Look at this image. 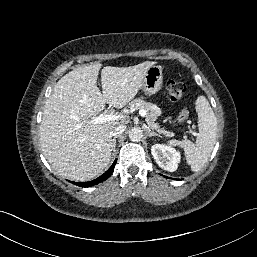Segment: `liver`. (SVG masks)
<instances>
[{
    "label": "liver",
    "instance_id": "obj_1",
    "mask_svg": "<svg viewBox=\"0 0 257 257\" xmlns=\"http://www.w3.org/2000/svg\"><path fill=\"white\" fill-rule=\"evenodd\" d=\"M155 63L103 67L102 92L96 85L100 63L74 69L56 83L45 104L40 144L47 161L60 176L88 181L108 166L113 151L109 133L119 125L118 120L97 124L92 120L106 103L115 108L129 103Z\"/></svg>",
    "mask_w": 257,
    "mask_h": 257
}]
</instances>
